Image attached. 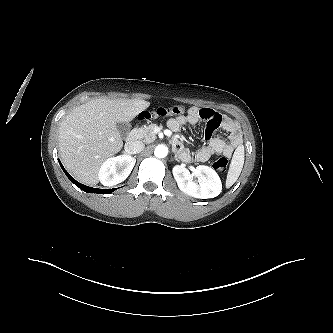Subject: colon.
<instances>
[{
	"instance_id": "obj_1",
	"label": "colon",
	"mask_w": 333,
	"mask_h": 333,
	"mask_svg": "<svg viewBox=\"0 0 333 333\" xmlns=\"http://www.w3.org/2000/svg\"><path fill=\"white\" fill-rule=\"evenodd\" d=\"M184 112V107L179 105H172L166 107H159L154 111H144L139 114L138 118L140 120H148L151 118H160V117H167V116H174L180 115ZM228 166V159L224 156L218 157L214 163L213 168L219 172H225Z\"/></svg>"
}]
</instances>
